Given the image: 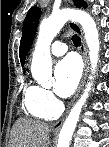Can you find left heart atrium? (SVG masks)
Segmentation results:
<instances>
[{
    "instance_id": "39dd6f15",
    "label": "left heart atrium",
    "mask_w": 109,
    "mask_h": 147,
    "mask_svg": "<svg viewBox=\"0 0 109 147\" xmlns=\"http://www.w3.org/2000/svg\"><path fill=\"white\" fill-rule=\"evenodd\" d=\"M81 76V64L75 55H68L55 67L54 90L57 95L67 98L71 96Z\"/></svg>"
}]
</instances>
